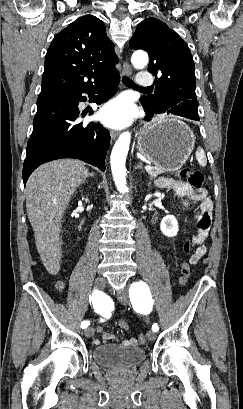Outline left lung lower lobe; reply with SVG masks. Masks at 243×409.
I'll use <instances>...</instances> for the list:
<instances>
[{"label":"left lung lower lobe","mask_w":243,"mask_h":409,"mask_svg":"<svg viewBox=\"0 0 243 409\" xmlns=\"http://www.w3.org/2000/svg\"><path fill=\"white\" fill-rule=\"evenodd\" d=\"M141 104L143 105L147 113V116L145 117L146 121H150L154 115L160 114V113L174 114L177 116L199 121L198 109H195V107H193L191 104H188V103L180 104V105L166 103L163 106L158 107V108H149L145 106L142 102Z\"/></svg>","instance_id":"0a47b994"}]
</instances>
